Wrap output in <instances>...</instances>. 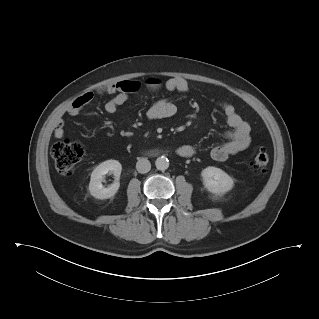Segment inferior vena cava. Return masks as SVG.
<instances>
[{
  "label": "inferior vena cava",
  "mask_w": 319,
  "mask_h": 319,
  "mask_svg": "<svg viewBox=\"0 0 319 319\" xmlns=\"http://www.w3.org/2000/svg\"><path fill=\"white\" fill-rule=\"evenodd\" d=\"M136 169L139 173H147L151 169V163L146 158H141L136 163Z\"/></svg>",
  "instance_id": "inferior-vena-cava-1"
}]
</instances>
